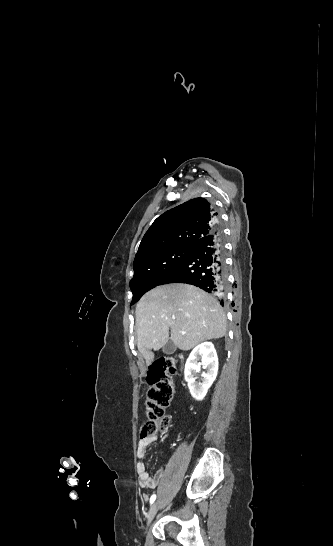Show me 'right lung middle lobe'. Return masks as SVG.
Segmentation results:
<instances>
[{
  "mask_svg": "<svg viewBox=\"0 0 333 546\" xmlns=\"http://www.w3.org/2000/svg\"><path fill=\"white\" fill-rule=\"evenodd\" d=\"M192 251V247H174L159 252L134 265V277L130 281L133 292L131 305L159 282Z\"/></svg>",
  "mask_w": 333,
  "mask_h": 546,
  "instance_id": "obj_1",
  "label": "right lung middle lobe"
}]
</instances>
